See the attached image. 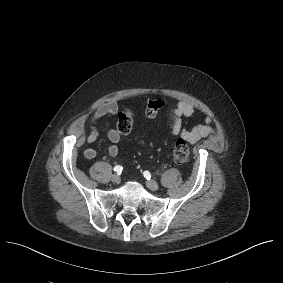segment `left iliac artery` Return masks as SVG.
<instances>
[{"instance_id": "44dca946", "label": "left iliac artery", "mask_w": 283, "mask_h": 283, "mask_svg": "<svg viewBox=\"0 0 283 283\" xmlns=\"http://www.w3.org/2000/svg\"><path fill=\"white\" fill-rule=\"evenodd\" d=\"M144 176L146 177V179H150L151 178V175H150V172L149 171H144Z\"/></svg>"}]
</instances>
